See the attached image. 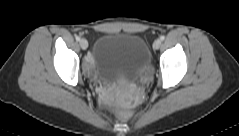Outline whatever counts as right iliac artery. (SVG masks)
Returning a JSON list of instances; mask_svg holds the SVG:
<instances>
[{
	"mask_svg": "<svg viewBox=\"0 0 239 136\" xmlns=\"http://www.w3.org/2000/svg\"><path fill=\"white\" fill-rule=\"evenodd\" d=\"M76 40H77V41H80V37H79V36H76Z\"/></svg>",
	"mask_w": 239,
	"mask_h": 136,
	"instance_id": "obj_1",
	"label": "right iliac artery"
}]
</instances>
